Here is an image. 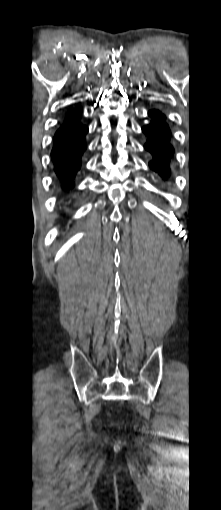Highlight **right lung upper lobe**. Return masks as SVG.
Returning a JSON list of instances; mask_svg holds the SVG:
<instances>
[{
    "label": "right lung upper lobe",
    "mask_w": 221,
    "mask_h": 510,
    "mask_svg": "<svg viewBox=\"0 0 221 510\" xmlns=\"http://www.w3.org/2000/svg\"><path fill=\"white\" fill-rule=\"evenodd\" d=\"M80 114L76 112H71L66 116V119L63 123V125L60 127V129L57 132H64L65 130L77 125L80 119Z\"/></svg>",
    "instance_id": "obj_1"
}]
</instances>
